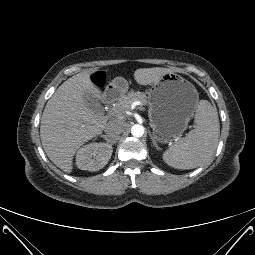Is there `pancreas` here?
Masks as SVG:
<instances>
[{"label":"pancreas","mask_w":255,"mask_h":255,"mask_svg":"<svg viewBox=\"0 0 255 255\" xmlns=\"http://www.w3.org/2000/svg\"><path fill=\"white\" fill-rule=\"evenodd\" d=\"M134 101H140L143 105L147 104V97L142 92H129L127 95L121 97L116 103L115 110L119 113H122L124 110L130 108L131 104Z\"/></svg>","instance_id":"1"}]
</instances>
